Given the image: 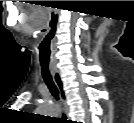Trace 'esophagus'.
Listing matches in <instances>:
<instances>
[{
  "label": "esophagus",
  "mask_w": 134,
  "mask_h": 123,
  "mask_svg": "<svg viewBox=\"0 0 134 123\" xmlns=\"http://www.w3.org/2000/svg\"><path fill=\"white\" fill-rule=\"evenodd\" d=\"M50 71H51L53 80L55 82V85L58 88L60 98H61V101H62L63 106H64L65 114L67 115L68 111H69V106L67 104V94L65 92L64 83H63L61 74H60L59 70L52 65H50Z\"/></svg>",
  "instance_id": "34e87169"
}]
</instances>
